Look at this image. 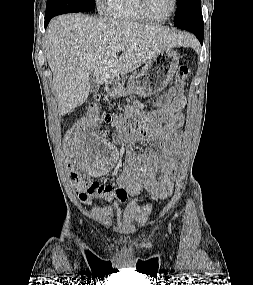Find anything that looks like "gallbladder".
<instances>
[{
	"label": "gallbladder",
	"instance_id": "obj_1",
	"mask_svg": "<svg viewBox=\"0 0 253 285\" xmlns=\"http://www.w3.org/2000/svg\"><path fill=\"white\" fill-rule=\"evenodd\" d=\"M89 83H90V92L95 93L98 91V83L96 81V78L93 73L90 74L89 77Z\"/></svg>",
	"mask_w": 253,
	"mask_h": 285
}]
</instances>
